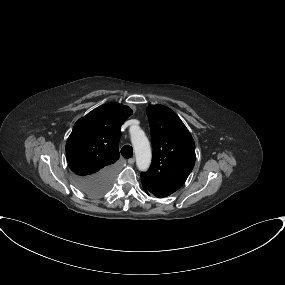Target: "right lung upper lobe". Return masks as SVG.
I'll use <instances>...</instances> for the list:
<instances>
[{
  "label": "right lung upper lobe",
  "instance_id": "cb5924a9",
  "mask_svg": "<svg viewBox=\"0 0 285 285\" xmlns=\"http://www.w3.org/2000/svg\"><path fill=\"white\" fill-rule=\"evenodd\" d=\"M131 115L128 106L106 103L79 119L66 143L70 169L77 176H90L113 165L120 157L121 125Z\"/></svg>",
  "mask_w": 285,
  "mask_h": 285
}]
</instances>
